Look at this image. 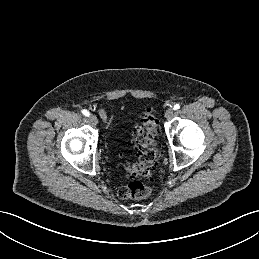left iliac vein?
Returning <instances> with one entry per match:
<instances>
[{
    "instance_id": "1",
    "label": "left iliac vein",
    "mask_w": 259,
    "mask_h": 259,
    "mask_svg": "<svg viewBox=\"0 0 259 259\" xmlns=\"http://www.w3.org/2000/svg\"><path fill=\"white\" fill-rule=\"evenodd\" d=\"M173 114H174V110L172 108H168L165 112V118L170 119L172 118Z\"/></svg>"
}]
</instances>
